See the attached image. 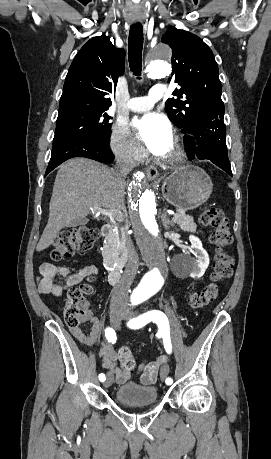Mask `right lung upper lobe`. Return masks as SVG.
Here are the masks:
<instances>
[{
	"mask_svg": "<svg viewBox=\"0 0 271 459\" xmlns=\"http://www.w3.org/2000/svg\"><path fill=\"white\" fill-rule=\"evenodd\" d=\"M125 51L110 38L90 39L75 56L65 79L59 112L89 109L108 110L118 77L124 73Z\"/></svg>",
	"mask_w": 271,
	"mask_h": 459,
	"instance_id": "obj_1",
	"label": "right lung upper lobe"
}]
</instances>
